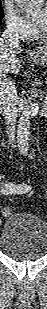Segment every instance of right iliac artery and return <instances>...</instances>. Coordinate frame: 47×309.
Returning <instances> with one entry per match:
<instances>
[{
  "label": "right iliac artery",
  "instance_id": "right-iliac-artery-1",
  "mask_svg": "<svg viewBox=\"0 0 47 309\" xmlns=\"http://www.w3.org/2000/svg\"><path fill=\"white\" fill-rule=\"evenodd\" d=\"M30 190V186L24 184H7L2 190L3 194H23Z\"/></svg>",
  "mask_w": 47,
  "mask_h": 309
}]
</instances>
